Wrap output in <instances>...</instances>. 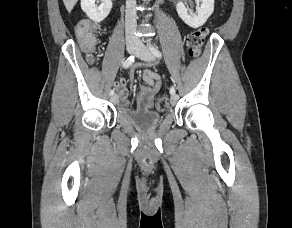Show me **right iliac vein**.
<instances>
[{
  "label": "right iliac vein",
  "instance_id": "1",
  "mask_svg": "<svg viewBox=\"0 0 292 228\" xmlns=\"http://www.w3.org/2000/svg\"><path fill=\"white\" fill-rule=\"evenodd\" d=\"M136 48H137V45H136L135 42H133V41H128V42L126 43V50H127V52H128L129 54L134 53L135 50H136ZM111 101H112L113 103H117V101H118V95H117V94L112 95V97H111Z\"/></svg>",
  "mask_w": 292,
  "mask_h": 228
}]
</instances>
